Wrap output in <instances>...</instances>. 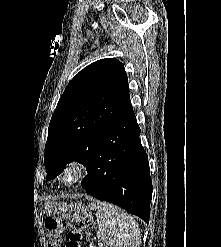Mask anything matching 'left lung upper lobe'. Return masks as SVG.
Returning <instances> with one entry per match:
<instances>
[{
    "mask_svg": "<svg viewBox=\"0 0 221 247\" xmlns=\"http://www.w3.org/2000/svg\"><path fill=\"white\" fill-rule=\"evenodd\" d=\"M134 113L124 66L116 59L98 60L67 85L52 115L45 145L47 179L78 161L85 167L107 128Z\"/></svg>",
    "mask_w": 221,
    "mask_h": 247,
    "instance_id": "obj_1",
    "label": "left lung upper lobe"
}]
</instances>
